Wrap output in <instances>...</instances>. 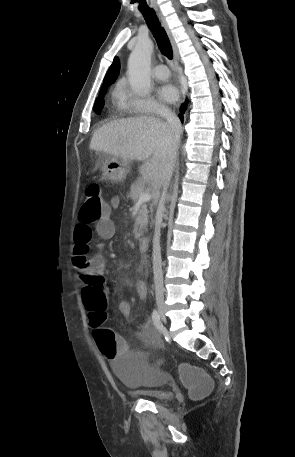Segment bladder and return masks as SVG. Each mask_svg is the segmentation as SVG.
Returning <instances> with one entry per match:
<instances>
[{
  "mask_svg": "<svg viewBox=\"0 0 295 457\" xmlns=\"http://www.w3.org/2000/svg\"><path fill=\"white\" fill-rule=\"evenodd\" d=\"M146 346L154 344L153 339L145 341ZM165 360H155L147 347H140L123 361L113 364L116 376L123 385L132 390H141L145 396L154 401H166L171 394L163 388L168 383L169 367ZM156 375L157 378H156Z\"/></svg>",
  "mask_w": 295,
  "mask_h": 457,
  "instance_id": "1",
  "label": "bladder"
}]
</instances>
